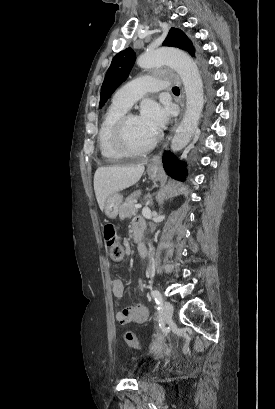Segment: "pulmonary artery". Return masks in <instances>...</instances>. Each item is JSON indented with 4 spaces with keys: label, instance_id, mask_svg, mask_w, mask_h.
<instances>
[{
    "label": "pulmonary artery",
    "instance_id": "obj_1",
    "mask_svg": "<svg viewBox=\"0 0 275 409\" xmlns=\"http://www.w3.org/2000/svg\"><path fill=\"white\" fill-rule=\"evenodd\" d=\"M164 79H155L153 76L141 75L140 79H130L129 85H120L113 97V104L129 110L141 94H152L154 88H164Z\"/></svg>",
    "mask_w": 275,
    "mask_h": 409
}]
</instances>
